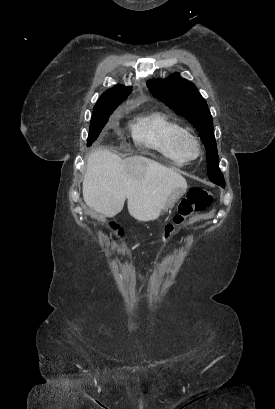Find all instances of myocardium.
I'll list each match as a JSON object with an SVG mask.
<instances>
[{
    "mask_svg": "<svg viewBox=\"0 0 275 409\" xmlns=\"http://www.w3.org/2000/svg\"><path fill=\"white\" fill-rule=\"evenodd\" d=\"M185 142H190L194 147V154L191 156H186L182 153L181 148ZM175 150L178 157H198L200 154V146L197 139L189 132H184L181 134L175 142Z\"/></svg>",
    "mask_w": 275,
    "mask_h": 409,
    "instance_id": "myocardium-1",
    "label": "myocardium"
}]
</instances>
